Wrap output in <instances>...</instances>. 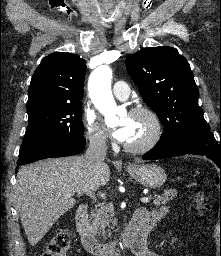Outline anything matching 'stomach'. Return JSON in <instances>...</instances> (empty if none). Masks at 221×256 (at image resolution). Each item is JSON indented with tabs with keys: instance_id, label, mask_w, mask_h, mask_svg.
Instances as JSON below:
<instances>
[{
	"instance_id": "obj_1",
	"label": "stomach",
	"mask_w": 221,
	"mask_h": 256,
	"mask_svg": "<svg viewBox=\"0 0 221 256\" xmlns=\"http://www.w3.org/2000/svg\"><path fill=\"white\" fill-rule=\"evenodd\" d=\"M128 172L136 181L148 188L161 187L167 178L164 169L157 165H133L128 167Z\"/></svg>"
}]
</instances>
